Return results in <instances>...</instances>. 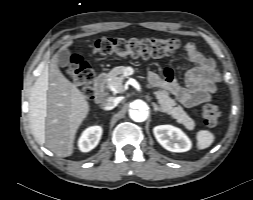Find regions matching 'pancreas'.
<instances>
[{
  "mask_svg": "<svg viewBox=\"0 0 253 200\" xmlns=\"http://www.w3.org/2000/svg\"><path fill=\"white\" fill-rule=\"evenodd\" d=\"M131 70L130 67L118 66L111 70L107 84L112 89H120L124 79V73ZM156 98L160 103V108L163 112L171 115L177 122L184 124L187 128L192 127V119L184 112L181 106L175 107L176 103L169 97L165 89L155 92Z\"/></svg>",
  "mask_w": 253,
  "mask_h": 200,
  "instance_id": "pancreas-1",
  "label": "pancreas"
}]
</instances>
